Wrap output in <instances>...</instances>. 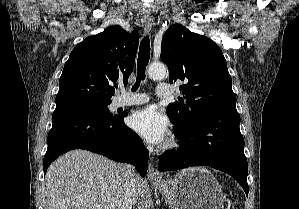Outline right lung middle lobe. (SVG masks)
<instances>
[{
	"mask_svg": "<svg viewBox=\"0 0 299 209\" xmlns=\"http://www.w3.org/2000/svg\"><path fill=\"white\" fill-rule=\"evenodd\" d=\"M110 103L111 102H103V103L76 102V103H69V104H64V105L80 108V109L90 112L104 120H115V119H117V116L111 114L107 107Z\"/></svg>",
	"mask_w": 299,
	"mask_h": 209,
	"instance_id": "1",
	"label": "right lung middle lobe"
}]
</instances>
